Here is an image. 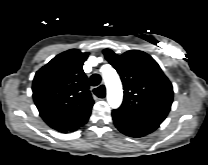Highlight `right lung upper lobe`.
Wrapping results in <instances>:
<instances>
[{
    "instance_id": "1",
    "label": "right lung upper lobe",
    "mask_w": 208,
    "mask_h": 165,
    "mask_svg": "<svg viewBox=\"0 0 208 165\" xmlns=\"http://www.w3.org/2000/svg\"><path fill=\"white\" fill-rule=\"evenodd\" d=\"M88 53L70 49L40 68L33 80V99L42 119L54 130L67 133L89 119L94 101L83 64Z\"/></svg>"
}]
</instances>
